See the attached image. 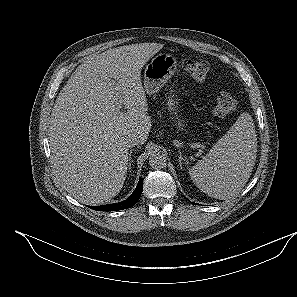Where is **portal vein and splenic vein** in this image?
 Listing matches in <instances>:
<instances>
[{
    "label": "portal vein and splenic vein",
    "mask_w": 297,
    "mask_h": 297,
    "mask_svg": "<svg viewBox=\"0 0 297 297\" xmlns=\"http://www.w3.org/2000/svg\"><path fill=\"white\" fill-rule=\"evenodd\" d=\"M118 107H120V106H118ZM196 147L199 148L198 153L201 155L203 153L204 146L202 144L198 143V144H196Z\"/></svg>",
    "instance_id": "obj_1"
}]
</instances>
